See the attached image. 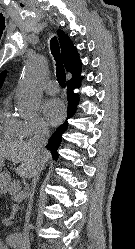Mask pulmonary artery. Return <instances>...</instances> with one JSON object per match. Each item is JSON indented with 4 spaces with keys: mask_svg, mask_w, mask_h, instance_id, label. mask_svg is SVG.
I'll return each instance as SVG.
<instances>
[{
    "mask_svg": "<svg viewBox=\"0 0 135 249\" xmlns=\"http://www.w3.org/2000/svg\"><path fill=\"white\" fill-rule=\"evenodd\" d=\"M44 90L47 94L54 95L59 92V86L57 82L51 80L44 85Z\"/></svg>",
    "mask_w": 135,
    "mask_h": 249,
    "instance_id": "pulmonary-artery-1",
    "label": "pulmonary artery"
}]
</instances>
